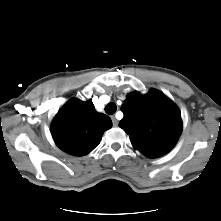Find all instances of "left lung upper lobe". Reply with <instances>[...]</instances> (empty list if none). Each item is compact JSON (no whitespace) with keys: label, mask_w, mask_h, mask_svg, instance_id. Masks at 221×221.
<instances>
[{"label":"left lung upper lobe","mask_w":221,"mask_h":221,"mask_svg":"<svg viewBox=\"0 0 221 221\" xmlns=\"http://www.w3.org/2000/svg\"><path fill=\"white\" fill-rule=\"evenodd\" d=\"M121 110L124 118L119 126L129 135L133 147L145 156L160 157L177 143L182 132L181 114L162 92L130 93Z\"/></svg>","instance_id":"left-lung-upper-lobe-1"}]
</instances>
